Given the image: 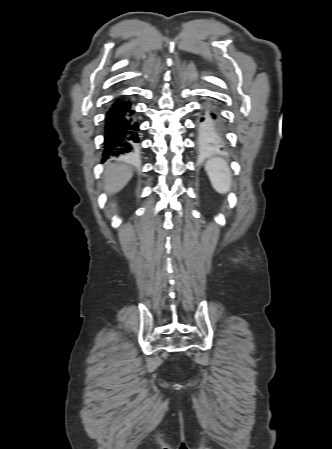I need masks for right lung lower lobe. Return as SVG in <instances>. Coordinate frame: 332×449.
Wrapping results in <instances>:
<instances>
[{
    "label": "right lung lower lobe",
    "instance_id": "1",
    "mask_svg": "<svg viewBox=\"0 0 332 449\" xmlns=\"http://www.w3.org/2000/svg\"><path fill=\"white\" fill-rule=\"evenodd\" d=\"M139 124L132 103L125 97L113 100L105 118L103 161L111 157H132L139 143Z\"/></svg>",
    "mask_w": 332,
    "mask_h": 449
}]
</instances>
